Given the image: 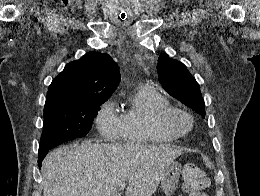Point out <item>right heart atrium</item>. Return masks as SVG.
I'll list each match as a JSON object with an SVG mask.
<instances>
[{
	"label": "right heart atrium",
	"mask_w": 260,
	"mask_h": 196,
	"mask_svg": "<svg viewBox=\"0 0 260 196\" xmlns=\"http://www.w3.org/2000/svg\"><path fill=\"white\" fill-rule=\"evenodd\" d=\"M97 129L107 143L115 132L121 127L120 117L117 115L113 102H104L96 115ZM127 192H145V190H127Z\"/></svg>",
	"instance_id": "d8ad5b80"
}]
</instances>
